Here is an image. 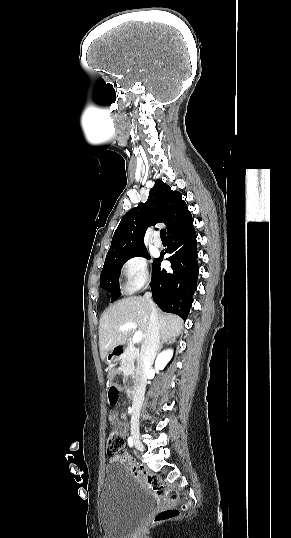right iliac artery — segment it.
Segmentation results:
<instances>
[{"label": "right iliac artery", "instance_id": "right-iliac-artery-1", "mask_svg": "<svg viewBox=\"0 0 291 538\" xmlns=\"http://www.w3.org/2000/svg\"><path fill=\"white\" fill-rule=\"evenodd\" d=\"M127 441H128V445H129L130 447H133V445H134L133 439H132L131 437H128V440H127Z\"/></svg>", "mask_w": 291, "mask_h": 538}]
</instances>
